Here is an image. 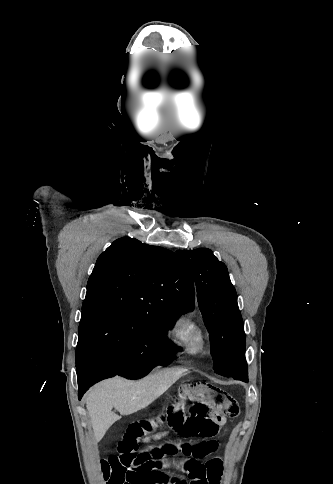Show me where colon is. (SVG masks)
<instances>
[{"mask_svg":"<svg viewBox=\"0 0 333 484\" xmlns=\"http://www.w3.org/2000/svg\"><path fill=\"white\" fill-rule=\"evenodd\" d=\"M171 434H174L173 431L171 430H166V431H160L157 433H154L152 435L143 437L141 439V442H150V441H157V440H162L168 438Z\"/></svg>","mask_w":333,"mask_h":484,"instance_id":"obj_1","label":"colon"}]
</instances>
